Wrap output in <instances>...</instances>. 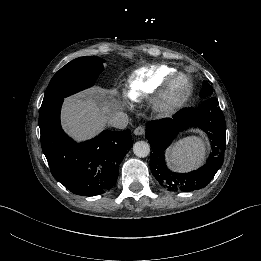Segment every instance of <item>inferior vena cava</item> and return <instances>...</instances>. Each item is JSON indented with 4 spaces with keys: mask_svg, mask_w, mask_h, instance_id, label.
<instances>
[{
    "mask_svg": "<svg viewBox=\"0 0 261 261\" xmlns=\"http://www.w3.org/2000/svg\"><path fill=\"white\" fill-rule=\"evenodd\" d=\"M128 115L124 112H116L115 115L110 117L109 124L118 129H124L128 125Z\"/></svg>",
    "mask_w": 261,
    "mask_h": 261,
    "instance_id": "inferior-vena-cava-1",
    "label": "inferior vena cava"
}]
</instances>
